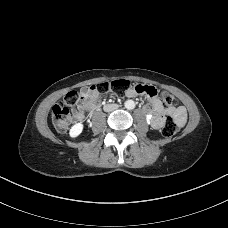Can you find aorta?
Returning a JSON list of instances; mask_svg holds the SVG:
<instances>
[{"label": "aorta", "mask_w": 228, "mask_h": 228, "mask_svg": "<svg viewBox=\"0 0 228 228\" xmlns=\"http://www.w3.org/2000/svg\"><path fill=\"white\" fill-rule=\"evenodd\" d=\"M124 106L128 110H132L135 108V102L133 100H127L125 101Z\"/></svg>", "instance_id": "762f6f07"}]
</instances>
